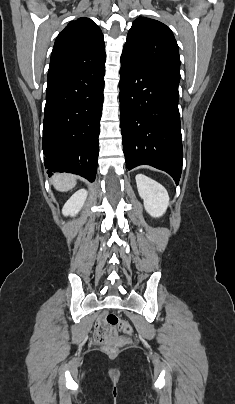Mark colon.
<instances>
[{"label":"colon","mask_w":235,"mask_h":404,"mask_svg":"<svg viewBox=\"0 0 235 404\" xmlns=\"http://www.w3.org/2000/svg\"><path fill=\"white\" fill-rule=\"evenodd\" d=\"M102 326L105 327L106 330H102L100 327H98L95 331V338L101 342L115 331L127 335L133 332V327L128 322L121 321L116 314L111 312L104 315Z\"/></svg>","instance_id":"obj_1"}]
</instances>
